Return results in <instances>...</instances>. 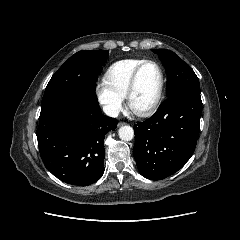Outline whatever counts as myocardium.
<instances>
[{"instance_id":"myocardium-1","label":"myocardium","mask_w":240,"mask_h":240,"mask_svg":"<svg viewBox=\"0 0 240 240\" xmlns=\"http://www.w3.org/2000/svg\"><path fill=\"white\" fill-rule=\"evenodd\" d=\"M147 64H153L154 66H156V68L158 70V73H159V85H158L156 94H155L153 100L151 101V103L143 109H136L132 105V97H133L134 92L136 90L139 74H140L141 70L143 69V67L146 66ZM164 82H165L164 72H163V69H162L161 65L154 60H144L134 70V72L132 73L131 78L129 80V84H128V88H127V92H126V101H127L128 108L134 114H136L138 116H148L151 113H153L160 103V100H161V97H162V94H163V89H164Z\"/></svg>"}]
</instances>
